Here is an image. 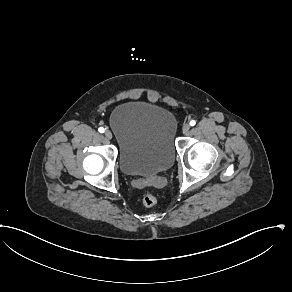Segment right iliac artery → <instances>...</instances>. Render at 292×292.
<instances>
[{"instance_id":"82829eb1","label":"right iliac artery","mask_w":292,"mask_h":292,"mask_svg":"<svg viewBox=\"0 0 292 292\" xmlns=\"http://www.w3.org/2000/svg\"><path fill=\"white\" fill-rule=\"evenodd\" d=\"M98 131H99L100 133H103V132L105 131V129H104L103 127H100V128L98 129Z\"/></svg>"}]
</instances>
